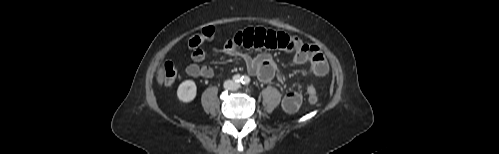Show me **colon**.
I'll return each instance as SVG.
<instances>
[{
	"label": "colon",
	"instance_id": "5ec220e1",
	"mask_svg": "<svg viewBox=\"0 0 499 154\" xmlns=\"http://www.w3.org/2000/svg\"><path fill=\"white\" fill-rule=\"evenodd\" d=\"M214 35V29L211 27L203 29L201 34L193 35L188 45L191 48H198L203 40L211 39ZM177 77V69L173 62L167 61L160 67L159 78L160 81L167 87H171ZM306 93L308 100L311 104H316L319 100V94L316 87L312 84L307 86Z\"/></svg>",
	"mask_w": 499,
	"mask_h": 154
}]
</instances>
